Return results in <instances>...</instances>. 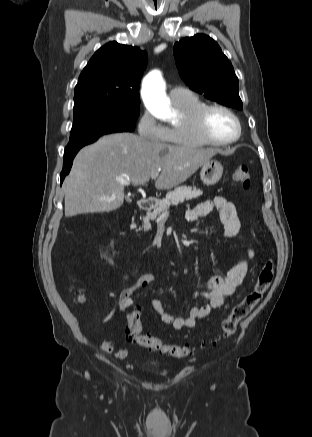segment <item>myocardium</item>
Listing matches in <instances>:
<instances>
[{
  "instance_id": "obj_1",
  "label": "myocardium",
  "mask_w": 312,
  "mask_h": 437,
  "mask_svg": "<svg viewBox=\"0 0 312 437\" xmlns=\"http://www.w3.org/2000/svg\"><path fill=\"white\" fill-rule=\"evenodd\" d=\"M213 110L224 111L234 119L237 125V132L233 137L226 140H217L209 135L206 129V119L209 113ZM189 124L195 136L204 144H208V145H213V146L230 145L236 142L237 140H239V138L242 135V124L239 117L233 110L222 104L215 103V104H208L202 106L191 115L189 119Z\"/></svg>"
}]
</instances>
